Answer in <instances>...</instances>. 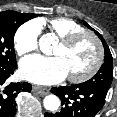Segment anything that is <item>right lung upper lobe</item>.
<instances>
[{"label":"right lung upper lobe","mask_w":117,"mask_h":117,"mask_svg":"<svg viewBox=\"0 0 117 117\" xmlns=\"http://www.w3.org/2000/svg\"><path fill=\"white\" fill-rule=\"evenodd\" d=\"M28 15L31 17V19L37 16V14H31V13H28Z\"/></svg>","instance_id":"obj_1"}]
</instances>
